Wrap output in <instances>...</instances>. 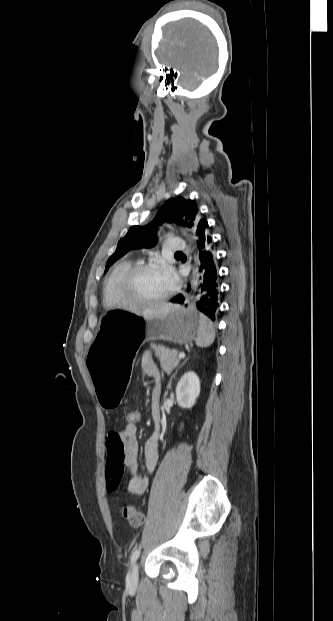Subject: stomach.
<instances>
[{"instance_id":"obj_1","label":"stomach","mask_w":333,"mask_h":621,"mask_svg":"<svg viewBox=\"0 0 333 621\" xmlns=\"http://www.w3.org/2000/svg\"><path fill=\"white\" fill-rule=\"evenodd\" d=\"M199 316L176 305L159 317L145 319L137 314L110 310L102 314L97 336L88 346L90 379L105 412L120 407L129 386L134 355L145 342L164 340L187 344L198 334Z\"/></svg>"}]
</instances>
